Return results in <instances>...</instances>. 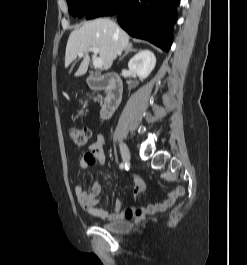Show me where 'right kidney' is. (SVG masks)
I'll list each match as a JSON object with an SVG mask.
<instances>
[{
	"mask_svg": "<svg viewBox=\"0 0 247 265\" xmlns=\"http://www.w3.org/2000/svg\"><path fill=\"white\" fill-rule=\"evenodd\" d=\"M156 64V57L150 50H142L137 53L128 62V68L135 73L140 79L147 78Z\"/></svg>",
	"mask_w": 247,
	"mask_h": 265,
	"instance_id": "ca27d5eb",
	"label": "right kidney"
}]
</instances>
